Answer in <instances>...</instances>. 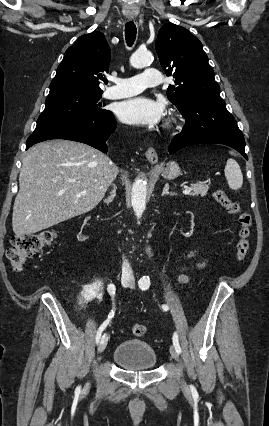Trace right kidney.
<instances>
[{
    "label": "right kidney",
    "mask_w": 269,
    "mask_h": 426,
    "mask_svg": "<svg viewBox=\"0 0 269 426\" xmlns=\"http://www.w3.org/2000/svg\"><path fill=\"white\" fill-rule=\"evenodd\" d=\"M87 221H92V216H86L85 217V220H84V223H83V225H82V228L84 227V225L87 223ZM81 228V229H82ZM88 237L87 236H84L83 234H82V230L78 233V235H77V239H78V241H80V242H84L86 239H87ZM83 295H84V297L85 298H87V299H90V298H92L93 299V301L94 302H96V303H98V302H100L101 300H102V297L104 296V293H103V289L102 288H96V284H94V285H89V286H86L85 288H84V292L82 293Z\"/></svg>",
    "instance_id": "ca27d5eb"
}]
</instances>
